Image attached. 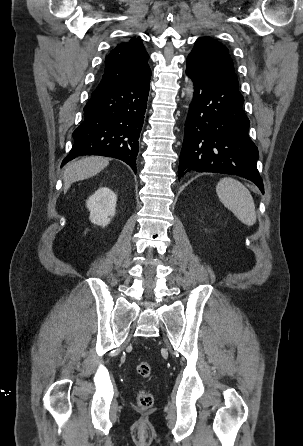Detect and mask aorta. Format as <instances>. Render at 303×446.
<instances>
[{
	"label": "aorta",
	"mask_w": 303,
	"mask_h": 446,
	"mask_svg": "<svg viewBox=\"0 0 303 446\" xmlns=\"http://www.w3.org/2000/svg\"><path fill=\"white\" fill-rule=\"evenodd\" d=\"M193 93H194V87L192 84H190L189 87L187 88V95L189 100L192 99Z\"/></svg>",
	"instance_id": "aorta-1"
}]
</instances>
